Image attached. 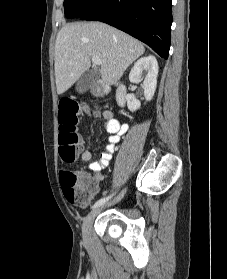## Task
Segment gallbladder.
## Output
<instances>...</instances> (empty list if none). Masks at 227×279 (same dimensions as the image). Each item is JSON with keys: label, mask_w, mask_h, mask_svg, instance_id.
I'll list each match as a JSON object with an SVG mask.
<instances>
[{"label": "gallbladder", "mask_w": 227, "mask_h": 279, "mask_svg": "<svg viewBox=\"0 0 227 279\" xmlns=\"http://www.w3.org/2000/svg\"><path fill=\"white\" fill-rule=\"evenodd\" d=\"M99 77V72L96 70H87L84 72L76 83V91L84 93L90 89Z\"/></svg>", "instance_id": "gallbladder-1"}]
</instances>
